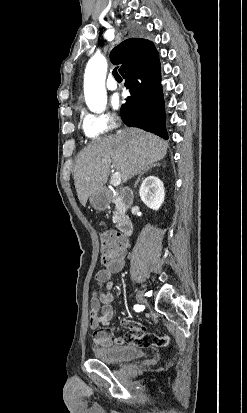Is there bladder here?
<instances>
[{
    "label": "bladder",
    "mask_w": 247,
    "mask_h": 413,
    "mask_svg": "<svg viewBox=\"0 0 247 413\" xmlns=\"http://www.w3.org/2000/svg\"><path fill=\"white\" fill-rule=\"evenodd\" d=\"M95 358L109 363H122L143 357V351L136 346H122L112 343L104 349L94 350Z\"/></svg>",
    "instance_id": "obj_1"
}]
</instances>
